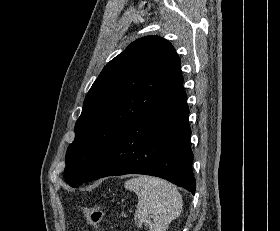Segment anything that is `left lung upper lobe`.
<instances>
[{"instance_id": "left-lung-upper-lobe-1", "label": "left lung upper lobe", "mask_w": 280, "mask_h": 231, "mask_svg": "<svg viewBox=\"0 0 280 231\" xmlns=\"http://www.w3.org/2000/svg\"><path fill=\"white\" fill-rule=\"evenodd\" d=\"M182 81L174 47L158 36L134 41L111 60L87 93L75 124L65 157L68 184L84 183L114 140Z\"/></svg>"}]
</instances>
